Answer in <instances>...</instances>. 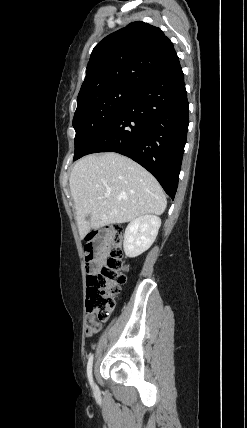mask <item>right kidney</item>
Instances as JSON below:
<instances>
[{
    "instance_id": "1",
    "label": "right kidney",
    "mask_w": 247,
    "mask_h": 428,
    "mask_svg": "<svg viewBox=\"0 0 247 428\" xmlns=\"http://www.w3.org/2000/svg\"><path fill=\"white\" fill-rule=\"evenodd\" d=\"M161 219L144 215L131 221L124 233V252L128 257H137L145 252L156 239Z\"/></svg>"
}]
</instances>
